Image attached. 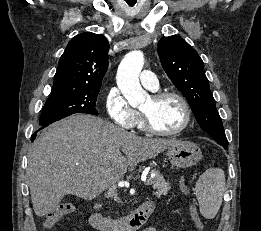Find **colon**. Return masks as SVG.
<instances>
[{"label": "colon", "instance_id": "obj_1", "mask_svg": "<svg viewBox=\"0 0 261 231\" xmlns=\"http://www.w3.org/2000/svg\"><path fill=\"white\" fill-rule=\"evenodd\" d=\"M182 188H187V186L184 183H182L181 189ZM74 210H75V206L73 204H68V205L64 204L62 207H58V208L50 210L47 214L46 225L48 227L51 226L52 224L57 222L59 218H61L62 216L66 215L68 213L73 212ZM191 216H192L193 222H194L197 230L203 231L204 226H203L202 222L200 221V218L195 210H192Z\"/></svg>", "mask_w": 261, "mask_h": 231}]
</instances>
